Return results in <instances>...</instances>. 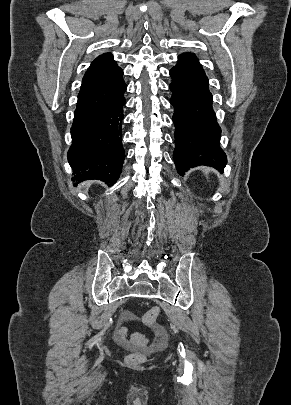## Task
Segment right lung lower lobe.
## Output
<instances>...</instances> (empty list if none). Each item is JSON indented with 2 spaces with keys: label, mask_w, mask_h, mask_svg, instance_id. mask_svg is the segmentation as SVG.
<instances>
[{
  "label": "right lung lower lobe",
  "mask_w": 291,
  "mask_h": 405,
  "mask_svg": "<svg viewBox=\"0 0 291 405\" xmlns=\"http://www.w3.org/2000/svg\"><path fill=\"white\" fill-rule=\"evenodd\" d=\"M121 70L113 77L83 86L71 127L68 162L73 180L96 179L114 184L122 171L123 106L126 84Z\"/></svg>",
  "instance_id": "obj_1"
}]
</instances>
